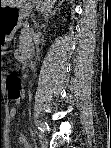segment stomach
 I'll list each match as a JSON object with an SVG mask.
<instances>
[{
  "mask_svg": "<svg viewBox=\"0 0 111 148\" xmlns=\"http://www.w3.org/2000/svg\"><path fill=\"white\" fill-rule=\"evenodd\" d=\"M33 3L36 1L33 0ZM23 13L22 5L0 7V50L2 53L8 48L17 29L21 27Z\"/></svg>",
  "mask_w": 111,
  "mask_h": 148,
  "instance_id": "1",
  "label": "stomach"
}]
</instances>
